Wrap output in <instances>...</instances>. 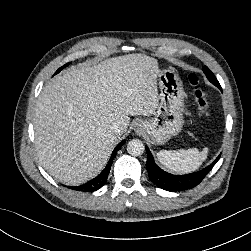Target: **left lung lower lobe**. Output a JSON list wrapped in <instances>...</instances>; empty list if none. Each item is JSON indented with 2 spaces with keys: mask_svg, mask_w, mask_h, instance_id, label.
Here are the masks:
<instances>
[{
  "mask_svg": "<svg viewBox=\"0 0 251 251\" xmlns=\"http://www.w3.org/2000/svg\"><path fill=\"white\" fill-rule=\"evenodd\" d=\"M215 85L222 90L219 84ZM145 149L147 152L146 169L148 171L150 180L159 188L165 189L167 191H184L197 186L211 171L213 166L220 158V156H218L209 166L198 172L186 175H172L160 169L155 164L153 156L147 146Z\"/></svg>",
  "mask_w": 251,
  "mask_h": 251,
  "instance_id": "left-lung-lower-lobe-1",
  "label": "left lung lower lobe"
}]
</instances>
